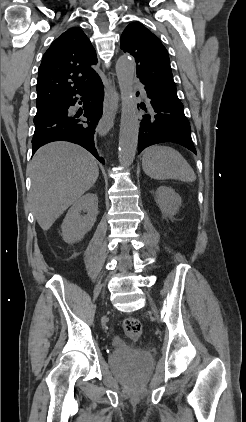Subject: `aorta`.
<instances>
[{
	"label": "aorta",
	"instance_id": "762f6f07",
	"mask_svg": "<svg viewBox=\"0 0 246 422\" xmlns=\"http://www.w3.org/2000/svg\"><path fill=\"white\" fill-rule=\"evenodd\" d=\"M135 69V61L128 55L119 57L116 62V75L122 99L119 163L125 168L129 167L135 159L140 127L133 90Z\"/></svg>",
	"mask_w": 246,
	"mask_h": 422
}]
</instances>
